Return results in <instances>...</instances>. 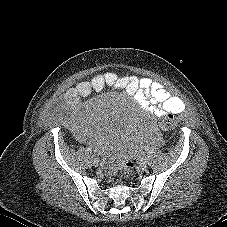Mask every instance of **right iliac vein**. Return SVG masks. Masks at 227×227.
Wrapping results in <instances>:
<instances>
[{
    "label": "right iliac vein",
    "instance_id": "obj_1",
    "mask_svg": "<svg viewBox=\"0 0 227 227\" xmlns=\"http://www.w3.org/2000/svg\"><path fill=\"white\" fill-rule=\"evenodd\" d=\"M92 163L95 167H97L99 165V160L97 158H93Z\"/></svg>",
    "mask_w": 227,
    "mask_h": 227
}]
</instances>
